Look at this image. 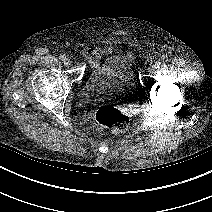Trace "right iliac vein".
<instances>
[{"instance_id":"right-iliac-vein-1","label":"right iliac vein","mask_w":212,"mask_h":212,"mask_svg":"<svg viewBox=\"0 0 212 212\" xmlns=\"http://www.w3.org/2000/svg\"><path fill=\"white\" fill-rule=\"evenodd\" d=\"M63 62L65 66H69L71 64V60L69 58H65Z\"/></svg>"}]
</instances>
